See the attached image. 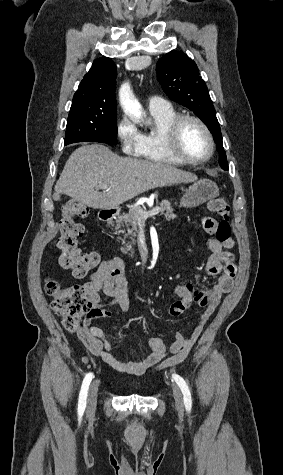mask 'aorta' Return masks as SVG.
Returning <instances> with one entry per match:
<instances>
[{"instance_id":"762f6f07","label":"aorta","mask_w":283,"mask_h":475,"mask_svg":"<svg viewBox=\"0 0 283 475\" xmlns=\"http://www.w3.org/2000/svg\"><path fill=\"white\" fill-rule=\"evenodd\" d=\"M120 103L126 114L136 121H139L144 113L142 111V106L134 98L130 86L128 83H124L119 91Z\"/></svg>"}]
</instances>
